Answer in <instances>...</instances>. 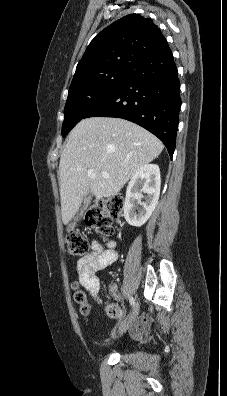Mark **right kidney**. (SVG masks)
Listing matches in <instances>:
<instances>
[{
  "mask_svg": "<svg viewBox=\"0 0 227 396\" xmlns=\"http://www.w3.org/2000/svg\"><path fill=\"white\" fill-rule=\"evenodd\" d=\"M160 185V169L156 164H146L134 173L124 202V217L128 224L140 227L149 219L158 203ZM142 198L145 201L141 202Z\"/></svg>",
  "mask_w": 227,
  "mask_h": 396,
  "instance_id": "1",
  "label": "right kidney"
}]
</instances>
